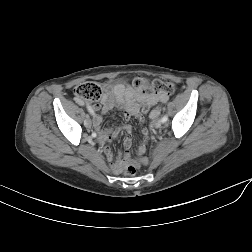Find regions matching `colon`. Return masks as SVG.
I'll use <instances>...</instances> for the list:
<instances>
[{"label": "colon", "mask_w": 252, "mask_h": 252, "mask_svg": "<svg viewBox=\"0 0 252 252\" xmlns=\"http://www.w3.org/2000/svg\"><path fill=\"white\" fill-rule=\"evenodd\" d=\"M133 85L139 90L153 94H170L175 90V85L170 81H163L158 79L149 84L147 80L142 76L136 77L133 80ZM75 95L82 101L96 102L102 98V90L97 83L84 82L79 84L75 88ZM146 111H148V109H146ZM137 169V164H128L125 167V174L128 176H134L137 172Z\"/></svg>", "instance_id": "colon-1"}]
</instances>
